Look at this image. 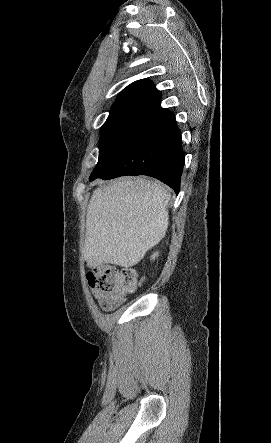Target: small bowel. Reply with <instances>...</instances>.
I'll return each instance as SVG.
<instances>
[{"mask_svg":"<svg viewBox=\"0 0 271 443\" xmlns=\"http://www.w3.org/2000/svg\"><path fill=\"white\" fill-rule=\"evenodd\" d=\"M92 294L96 298L100 308L104 311L115 310L125 302V298H117L94 289L92 290Z\"/></svg>","mask_w":271,"mask_h":443,"instance_id":"c3829d8e","label":"small bowel"}]
</instances>
